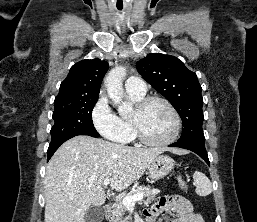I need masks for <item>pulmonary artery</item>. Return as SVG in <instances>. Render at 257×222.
Instances as JSON below:
<instances>
[{
  "label": "pulmonary artery",
  "instance_id": "obj_1",
  "mask_svg": "<svg viewBox=\"0 0 257 222\" xmlns=\"http://www.w3.org/2000/svg\"><path fill=\"white\" fill-rule=\"evenodd\" d=\"M125 88L127 92L136 95H145L147 91L146 83L138 76H132L128 78L125 83Z\"/></svg>",
  "mask_w": 257,
  "mask_h": 222
}]
</instances>
